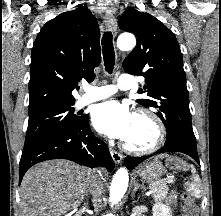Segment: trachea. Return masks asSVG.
<instances>
[{
	"mask_svg": "<svg viewBox=\"0 0 221 216\" xmlns=\"http://www.w3.org/2000/svg\"><path fill=\"white\" fill-rule=\"evenodd\" d=\"M102 52L105 69L108 73H112L115 63V52L111 32L104 33L102 37Z\"/></svg>",
	"mask_w": 221,
	"mask_h": 216,
	"instance_id": "1",
	"label": "trachea"
}]
</instances>
